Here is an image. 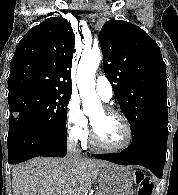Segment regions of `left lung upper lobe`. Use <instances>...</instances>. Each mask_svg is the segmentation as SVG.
<instances>
[{
    "instance_id": "1",
    "label": "left lung upper lobe",
    "mask_w": 178,
    "mask_h": 195,
    "mask_svg": "<svg viewBox=\"0 0 178 195\" xmlns=\"http://www.w3.org/2000/svg\"><path fill=\"white\" fill-rule=\"evenodd\" d=\"M99 43L132 141L168 132L166 65L157 43L141 28L114 19L102 26Z\"/></svg>"
}]
</instances>
